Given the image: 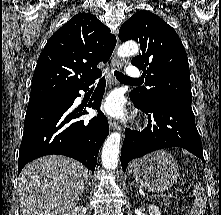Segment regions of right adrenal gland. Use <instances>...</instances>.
Returning <instances> with one entry per match:
<instances>
[{"label":"right adrenal gland","mask_w":221,"mask_h":215,"mask_svg":"<svg viewBox=\"0 0 221 215\" xmlns=\"http://www.w3.org/2000/svg\"><path fill=\"white\" fill-rule=\"evenodd\" d=\"M89 186H90V180H87L85 189L88 190V189H89Z\"/></svg>","instance_id":"right-adrenal-gland-1"}]
</instances>
